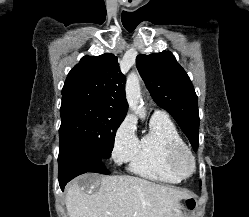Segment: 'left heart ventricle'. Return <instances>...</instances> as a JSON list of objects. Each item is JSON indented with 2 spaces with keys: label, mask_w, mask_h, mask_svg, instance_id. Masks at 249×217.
Wrapping results in <instances>:
<instances>
[{
  "label": "left heart ventricle",
  "mask_w": 249,
  "mask_h": 217,
  "mask_svg": "<svg viewBox=\"0 0 249 217\" xmlns=\"http://www.w3.org/2000/svg\"><path fill=\"white\" fill-rule=\"evenodd\" d=\"M182 166H183L184 168H187V167L189 166V160H188V159H184V160L182 161Z\"/></svg>",
  "instance_id": "1"
}]
</instances>
